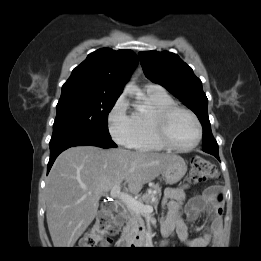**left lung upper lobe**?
<instances>
[{
  "instance_id": "5c2ea615",
  "label": "left lung upper lobe",
  "mask_w": 261,
  "mask_h": 261,
  "mask_svg": "<svg viewBox=\"0 0 261 261\" xmlns=\"http://www.w3.org/2000/svg\"><path fill=\"white\" fill-rule=\"evenodd\" d=\"M138 56L146 77L165 87L197 115L203 127L202 147L218 149L208 117V99L193 70L178 55L168 51H142Z\"/></svg>"
}]
</instances>
